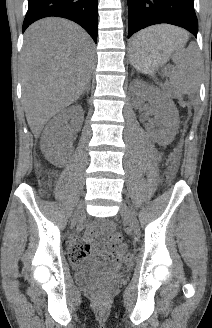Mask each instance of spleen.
<instances>
[{
  "instance_id": "3e777b00",
  "label": "spleen",
  "mask_w": 212,
  "mask_h": 328,
  "mask_svg": "<svg viewBox=\"0 0 212 328\" xmlns=\"http://www.w3.org/2000/svg\"><path fill=\"white\" fill-rule=\"evenodd\" d=\"M177 41L172 56L176 69L170 73V84L176 93H194L200 81L199 65L197 62V48L191 43L188 48L184 47L185 36L173 29V27L162 25L144 29L135 35L134 41L140 46L135 50L162 47L166 41Z\"/></svg>"
}]
</instances>
